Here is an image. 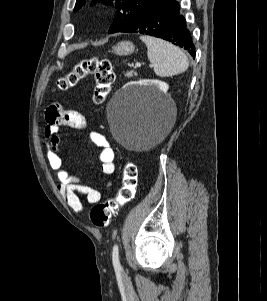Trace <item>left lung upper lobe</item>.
Listing matches in <instances>:
<instances>
[{
    "label": "left lung upper lobe",
    "mask_w": 267,
    "mask_h": 301,
    "mask_svg": "<svg viewBox=\"0 0 267 301\" xmlns=\"http://www.w3.org/2000/svg\"><path fill=\"white\" fill-rule=\"evenodd\" d=\"M88 0H77L74 11L79 10ZM157 0H93L91 5L102 2L106 5L113 4L116 8V16L109 33H116L127 23L132 22L136 17L142 14L149 5Z\"/></svg>",
    "instance_id": "1"
}]
</instances>
